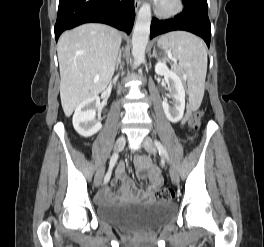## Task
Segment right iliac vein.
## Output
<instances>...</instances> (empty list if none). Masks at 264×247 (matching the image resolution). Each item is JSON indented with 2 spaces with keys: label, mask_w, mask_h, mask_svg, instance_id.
Here are the masks:
<instances>
[{
  "label": "right iliac vein",
  "mask_w": 264,
  "mask_h": 247,
  "mask_svg": "<svg viewBox=\"0 0 264 247\" xmlns=\"http://www.w3.org/2000/svg\"><path fill=\"white\" fill-rule=\"evenodd\" d=\"M125 143H126L125 136L122 135L118 137L114 144V152H120L124 148ZM103 175H104V168H101L95 175V185L97 187L100 186Z\"/></svg>",
  "instance_id": "right-iliac-vein-1"
}]
</instances>
